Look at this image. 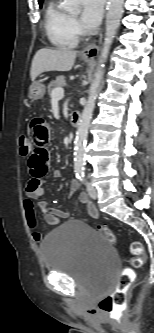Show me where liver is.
I'll use <instances>...</instances> for the list:
<instances>
[{
    "label": "liver",
    "instance_id": "1",
    "mask_svg": "<svg viewBox=\"0 0 154 333\" xmlns=\"http://www.w3.org/2000/svg\"><path fill=\"white\" fill-rule=\"evenodd\" d=\"M76 56L77 51L68 48L40 49L32 60L31 80L34 81L43 72L71 70Z\"/></svg>",
    "mask_w": 154,
    "mask_h": 333
}]
</instances>
